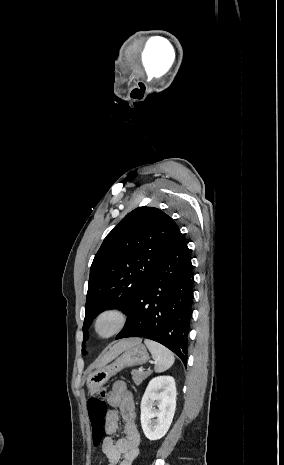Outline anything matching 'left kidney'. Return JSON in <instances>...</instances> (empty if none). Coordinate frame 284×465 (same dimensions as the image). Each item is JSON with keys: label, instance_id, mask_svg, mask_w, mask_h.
Listing matches in <instances>:
<instances>
[{"label": "left kidney", "instance_id": "left-kidney-1", "mask_svg": "<svg viewBox=\"0 0 284 465\" xmlns=\"http://www.w3.org/2000/svg\"><path fill=\"white\" fill-rule=\"evenodd\" d=\"M175 409L176 387L173 377L152 379L141 401V427L149 441H158L166 435Z\"/></svg>", "mask_w": 284, "mask_h": 465}]
</instances>
